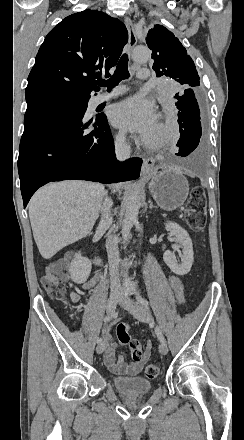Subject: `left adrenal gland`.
I'll return each instance as SVG.
<instances>
[{"mask_svg": "<svg viewBox=\"0 0 244 440\" xmlns=\"http://www.w3.org/2000/svg\"><path fill=\"white\" fill-rule=\"evenodd\" d=\"M149 208H150V210H152V208H157V206H153L152 202H150Z\"/></svg>", "mask_w": 244, "mask_h": 440, "instance_id": "a2214340", "label": "left adrenal gland"}]
</instances>
